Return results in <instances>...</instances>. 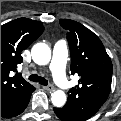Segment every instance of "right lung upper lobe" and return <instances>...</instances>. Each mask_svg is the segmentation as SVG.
<instances>
[{"label": "right lung upper lobe", "mask_w": 121, "mask_h": 121, "mask_svg": "<svg viewBox=\"0 0 121 121\" xmlns=\"http://www.w3.org/2000/svg\"><path fill=\"white\" fill-rule=\"evenodd\" d=\"M44 31L42 22L19 18L1 26V109L27 94L32 85L22 76L11 77L23 62L21 52Z\"/></svg>", "instance_id": "obj_1"}]
</instances>
